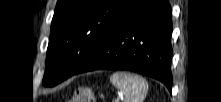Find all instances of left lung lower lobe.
<instances>
[{"label": "left lung lower lobe", "instance_id": "0a47b994", "mask_svg": "<svg viewBox=\"0 0 221 102\" xmlns=\"http://www.w3.org/2000/svg\"><path fill=\"white\" fill-rule=\"evenodd\" d=\"M172 17L168 0H132L89 58L73 74L130 70L171 92Z\"/></svg>", "mask_w": 221, "mask_h": 102}]
</instances>
